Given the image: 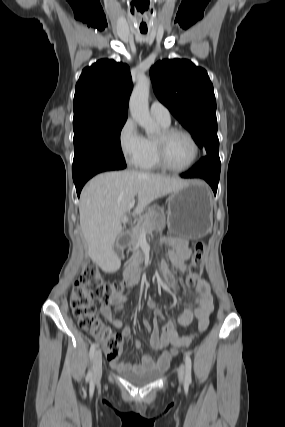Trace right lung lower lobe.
Instances as JSON below:
<instances>
[{
	"instance_id": "obj_1",
	"label": "right lung lower lobe",
	"mask_w": 285,
	"mask_h": 427,
	"mask_svg": "<svg viewBox=\"0 0 285 427\" xmlns=\"http://www.w3.org/2000/svg\"><path fill=\"white\" fill-rule=\"evenodd\" d=\"M125 167V162H119L104 157L91 159L78 171L73 173V180L76 186L78 197L84 184L94 175L104 171L124 169Z\"/></svg>"
}]
</instances>
